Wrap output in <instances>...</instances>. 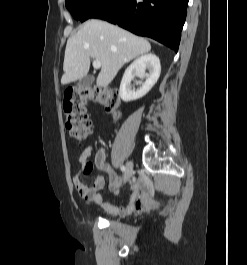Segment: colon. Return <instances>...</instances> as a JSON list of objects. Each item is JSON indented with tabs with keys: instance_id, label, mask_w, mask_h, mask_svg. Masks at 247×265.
I'll list each match as a JSON object with an SVG mask.
<instances>
[{
	"instance_id": "5ec220e1",
	"label": "colon",
	"mask_w": 247,
	"mask_h": 265,
	"mask_svg": "<svg viewBox=\"0 0 247 265\" xmlns=\"http://www.w3.org/2000/svg\"><path fill=\"white\" fill-rule=\"evenodd\" d=\"M89 102L102 106L114 118H119L121 114L120 98L116 90L87 87L66 91L63 102L66 128L80 145L87 141L92 131V123L87 113ZM91 170L90 164L87 171Z\"/></svg>"
}]
</instances>
